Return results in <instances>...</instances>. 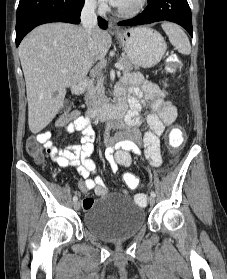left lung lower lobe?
<instances>
[{"label": "left lung lower lobe", "instance_id": "1", "mask_svg": "<svg viewBox=\"0 0 227 279\" xmlns=\"http://www.w3.org/2000/svg\"><path fill=\"white\" fill-rule=\"evenodd\" d=\"M162 20L181 25L193 36L191 9L187 0H148V6L141 14L133 19L121 21L118 25H142Z\"/></svg>", "mask_w": 227, "mask_h": 279}]
</instances>
